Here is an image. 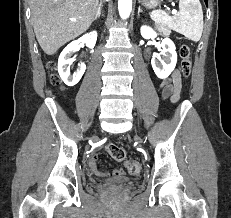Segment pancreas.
<instances>
[{
  "label": "pancreas",
  "mask_w": 231,
  "mask_h": 218,
  "mask_svg": "<svg viewBox=\"0 0 231 218\" xmlns=\"http://www.w3.org/2000/svg\"><path fill=\"white\" fill-rule=\"evenodd\" d=\"M156 28L158 29V31L160 33H162L163 35H169L171 33L170 28L167 27L166 25H160V24H156Z\"/></svg>",
  "instance_id": "cf45deb5"
}]
</instances>
